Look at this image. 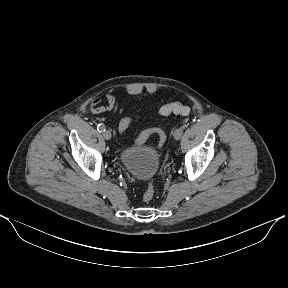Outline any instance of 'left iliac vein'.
<instances>
[{"label":"left iliac vein","instance_id":"left-iliac-vein-1","mask_svg":"<svg viewBox=\"0 0 288 288\" xmlns=\"http://www.w3.org/2000/svg\"><path fill=\"white\" fill-rule=\"evenodd\" d=\"M182 134H183V131L181 132V131L179 130V128H177V129L174 131L173 136H174V138H175L176 140H180V138L182 137Z\"/></svg>","mask_w":288,"mask_h":288}]
</instances>
